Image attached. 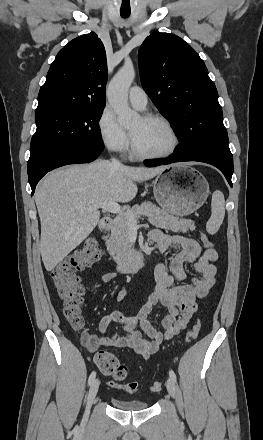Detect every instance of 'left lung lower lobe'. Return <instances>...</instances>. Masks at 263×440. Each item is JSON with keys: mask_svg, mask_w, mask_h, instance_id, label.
<instances>
[{"mask_svg": "<svg viewBox=\"0 0 263 440\" xmlns=\"http://www.w3.org/2000/svg\"><path fill=\"white\" fill-rule=\"evenodd\" d=\"M181 161H199L217 167L224 174L228 183L232 187L231 178L233 174V156L230 150L215 151L194 158L185 157L175 151V153L167 159L147 160L144 162V164L148 167H154Z\"/></svg>", "mask_w": 263, "mask_h": 440, "instance_id": "0a47b994", "label": "left lung lower lobe"}]
</instances>
